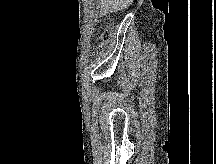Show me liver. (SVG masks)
I'll return each mask as SVG.
<instances>
[{
	"instance_id": "1",
	"label": "liver",
	"mask_w": 216,
	"mask_h": 164,
	"mask_svg": "<svg viewBox=\"0 0 216 164\" xmlns=\"http://www.w3.org/2000/svg\"><path fill=\"white\" fill-rule=\"evenodd\" d=\"M100 14L105 15L112 12L122 11L127 9L134 0H99Z\"/></svg>"
}]
</instances>
